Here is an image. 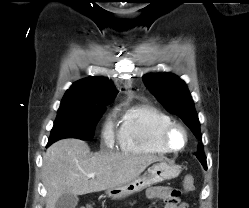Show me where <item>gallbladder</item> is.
<instances>
[{
    "label": "gallbladder",
    "mask_w": 249,
    "mask_h": 208,
    "mask_svg": "<svg viewBox=\"0 0 249 208\" xmlns=\"http://www.w3.org/2000/svg\"><path fill=\"white\" fill-rule=\"evenodd\" d=\"M78 201L79 199L77 195L65 193L57 200L55 208H75Z\"/></svg>",
    "instance_id": "gallbladder-1"
}]
</instances>
